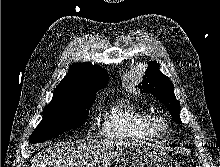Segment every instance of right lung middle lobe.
Returning <instances> with one entry per match:
<instances>
[{
	"instance_id": "1",
	"label": "right lung middle lobe",
	"mask_w": 220,
	"mask_h": 167,
	"mask_svg": "<svg viewBox=\"0 0 220 167\" xmlns=\"http://www.w3.org/2000/svg\"><path fill=\"white\" fill-rule=\"evenodd\" d=\"M95 95H82L52 100L43 111V119L29 142L34 144L84 124Z\"/></svg>"
}]
</instances>
